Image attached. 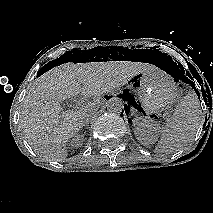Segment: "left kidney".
<instances>
[{
  "label": "left kidney",
  "instance_id": "left-kidney-1",
  "mask_svg": "<svg viewBox=\"0 0 213 213\" xmlns=\"http://www.w3.org/2000/svg\"><path fill=\"white\" fill-rule=\"evenodd\" d=\"M135 133L142 144H149L154 142L155 134L158 131V126L154 120L150 118H135L133 121Z\"/></svg>",
  "mask_w": 213,
  "mask_h": 213
}]
</instances>
